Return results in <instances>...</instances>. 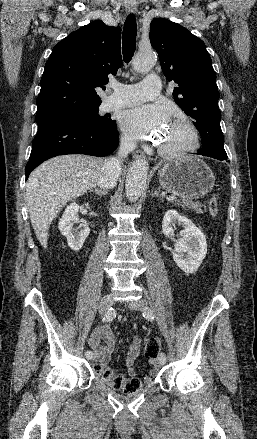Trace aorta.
I'll return each mask as SVG.
<instances>
[{
    "instance_id": "aorta-1",
    "label": "aorta",
    "mask_w": 257,
    "mask_h": 439,
    "mask_svg": "<svg viewBox=\"0 0 257 439\" xmlns=\"http://www.w3.org/2000/svg\"><path fill=\"white\" fill-rule=\"evenodd\" d=\"M157 57L152 50L139 52L134 59L133 67L137 72H148L156 64ZM149 166L145 159H138L130 166L126 176L125 192L130 202L141 196L148 175Z\"/></svg>"
}]
</instances>
